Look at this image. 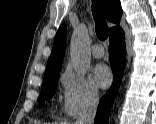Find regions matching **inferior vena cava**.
Masks as SVG:
<instances>
[{
	"label": "inferior vena cava",
	"mask_w": 156,
	"mask_h": 124,
	"mask_svg": "<svg viewBox=\"0 0 156 124\" xmlns=\"http://www.w3.org/2000/svg\"><path fill=\"white\" fill-rule=\"evenodd\" d=\"M98 96L90 95L83 103L75 124H93L98 106Z\"/></svg>",
	"instance_id": "inferior-vena-cava-1"
}]
</instances>
